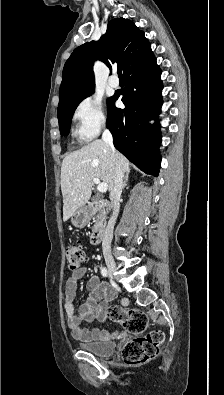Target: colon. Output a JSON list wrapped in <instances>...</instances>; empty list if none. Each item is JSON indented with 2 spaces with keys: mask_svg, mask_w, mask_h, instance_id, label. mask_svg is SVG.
<instances>
[{
  "mask_svg": "<svg viewBox=\"0 0 224 395\" xmlns=\"http://www.w3.org/2000/svg\"><path fill=\"white\" fill-rule=\"evenodd\" d=\"M65 256L71 270L77 269L84 261V252L77 244L69 245ZM108 316L112 321L121 324L127 332L137 335L122 346L121 356L127 364H144L158 356L164 342V334L157 329L143 334L148 325L144 312L138 309L111 306L108 309Z\"/></svg>",
  "mask_w": 224,
  "mask_h": 395,
  "instance_id": "obj_1",
  "label": "colon"
}]
</instances>
